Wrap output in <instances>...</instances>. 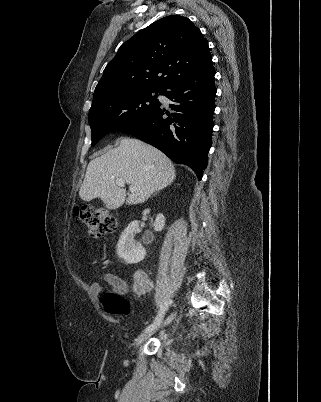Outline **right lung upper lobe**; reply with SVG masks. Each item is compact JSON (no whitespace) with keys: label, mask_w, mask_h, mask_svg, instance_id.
<instances>
[{"label":"right lung upper lobe","mask_w":321,"mask_h":402,"mask_svg":"<svg viewBox=\"0 0 321 402\" xmlns=\"http://www.w3.org/2000/svg\"><path fill=\"white\" fill-rule=\"evenodd\" d=\"M212 64L207 41L188 18L170 15L136 33L106 66L92 105L149 89H165L176 79Z\"/></svg>","instance_id":"obj_1"}]
</instances>
